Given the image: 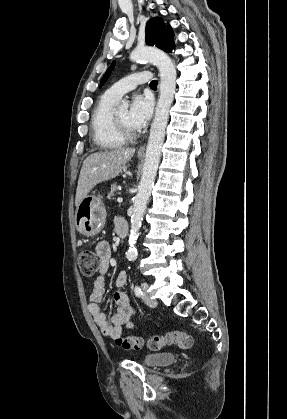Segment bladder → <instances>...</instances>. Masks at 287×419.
<instances>
[{"label":"bladder","instance_id":"obj_1","mask_svg":"<svg viewBox=\"0 0 287 419\" xmlns=\"http://www.w3.org/2000/svg\"><path fill=\"white\" fill-rule=\"evenodd\" d=\"M175 355L171 353L149 354L143 358V363L147 366H165L174 363Z\"/></svg>","mask_w":287,"mask_h":419}]
</instances>
